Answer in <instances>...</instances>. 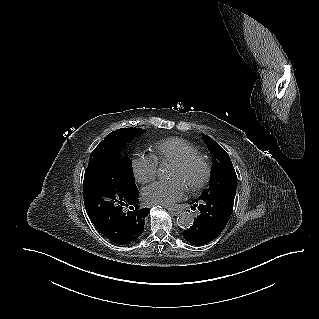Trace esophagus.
Returning <instances> with one entry per match:
<instances>
[{"mask_svg":"<svg viewBox=\"0 0 319 319\" xmlns=\"http://www.w3.org/2000/svg\"><path fill=\"white\" fill-rule=\"evenodd\" d=\"M168 209V211L170 212V213H172L173 215H178L179 213H180V211H178L177 209H175V208H167Z\"/></svg>","mask_w":319,"mask_h":319,"instance_id":"1","label":"esophagus"}]
</instances>
